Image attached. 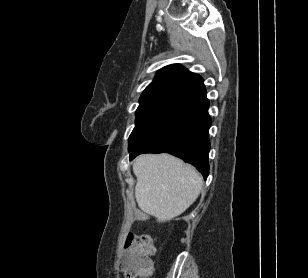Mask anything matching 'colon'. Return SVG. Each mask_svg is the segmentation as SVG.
Wrapping results in <instances>:
<instances>
[{
    "label": "colon",
    "mask_w": 308,
    "mask_h": 278,
    "mask_svg": "<svg viewBox=\"0 0 308 278\" xmlns=\"http://www.w3.org/2000/svg\"><path fill=\"white\" fill-rule=\"evenodd\" d=\"M155 252V240L150 236L128 235L124 244L121 270L127 278L149 274L148 258Z\"/></svg>",
    "instance_id": "colon-1"
}]
</instances>
